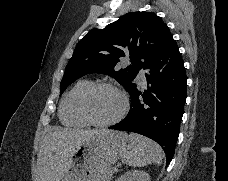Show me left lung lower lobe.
<instances>
[{
    "label": "left lung lower lobe",
    "instance_id": "obj_1",
    "mask_svg": "<svg viewBox=\"0 0 228 181\" xmlns=\"http://www.w3.org/2000/svg\"><path fill=\"white\" fill-rule=\"evenodd\" d=\"M143 69L148 70L147 88L135 84L129 91L131 106L127 116L109 128L153 139L163 148L168 165L175 152L187 87L184 63L172 37Z\"/></svg>",
    "mask_w": 228,
    "mask_h": 181
}]
</instances>
